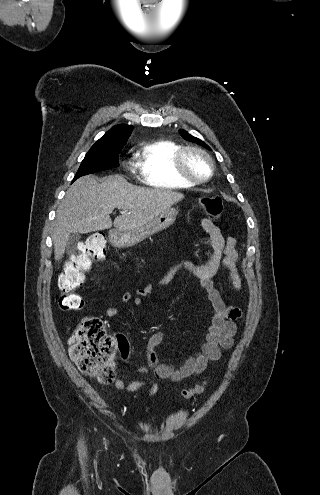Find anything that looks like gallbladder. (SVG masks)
Listing matches in <instances>:
<instances>
[{
	"instance_id": "obj_1",
	"label": "gallbladder",
	"mask_w": 320,
	"mask_h": 495,
	"mask_svg": "<svg viewBox=\"0 0 320 495\" xmlns=\"http://www.w3.org/2000/svg\"><path fill=\"white\" fill-rule=\"evenodd\" d=\"M79 239H80L79 233H73L69 236L66 246V251L68 254H72L75 252Z\"/></svg>"
}]
</instances>
